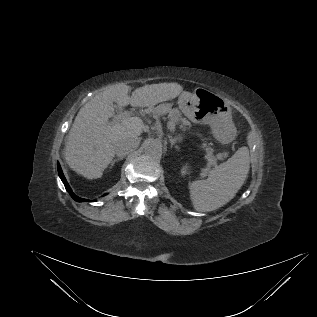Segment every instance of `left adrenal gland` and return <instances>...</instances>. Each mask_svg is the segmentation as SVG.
Instances as JSON below:
<instances>
[{
    "label": "left adrenal gland",
    "mask_w": 317,
    "mask_h": 317,
    "mask_svg": "<svg viewBox=\"0 0 317 317\" xmlns=\"http://www.w3.org/2000/svg\"><path fill=\"white\" fill-rule=\"evenodd\" d=\"M169 140H170V143H171V147H173L177 141H179V138L176 137V138H173V137H169ZM176 148H178V146H175Z\"/></svg>",
    "instance_id": "obj_1"
}]
</instances>
